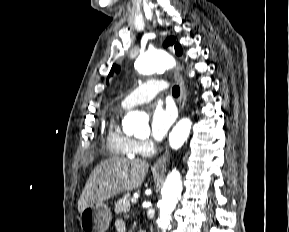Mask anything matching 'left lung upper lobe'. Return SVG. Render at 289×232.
<instances>
[{
	"mask_svg": "<svg viewBox=\"0 0 289 232\" xmlns=\"http://www.w3.org/2000/svg\"><path fill=\"white\" fill-rule=\"evenodd\" d=\"M164 47H167V46H172V45H175V52L177 55H181L182 54V49H181V46L179 43H176V40H175V37H168L165 42H164ZM114 71H117L119 72V67L116 66V65H113L109 75H108V78L113 74Z\"/></svg>",
	"mask_w": 289,
	"mask_h": 232,
	"instance_id": "1",
	"label": "left lung upper lobe"
}]
</instances>
